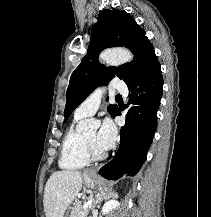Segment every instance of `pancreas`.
<instances>
[{"label": "pancreas", "instance_id": "cf45deb5", "mask_svg": "<svg viewBox=\"0 0 211 217\" xmlns=\"http://www.w3.org/2000/svg\"><path fill=\"white\" fill-rule=\"evenodd\" d=\"M92 206H89V209H92ZM89 209L83 210L81 202H77L72 209L70 217H87Z\"/></svg>", "mask_w": 211, "mask_h": 217}]
</instances>
